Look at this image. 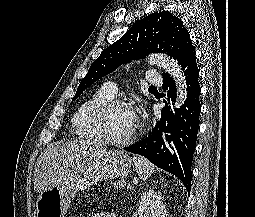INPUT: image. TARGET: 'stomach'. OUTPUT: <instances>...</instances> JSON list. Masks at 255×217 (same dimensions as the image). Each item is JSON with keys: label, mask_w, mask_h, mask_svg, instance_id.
Masks as SVG:
<instances>
[{"label": "stomach", "mask_w": 255, "mask_h": 217, "mask_svg": "<svg viewBox=\"0 0 255 217\" xmlns=\"http://www.w3.org/2000/svg\"><path fill=\"white\" fill-rule=\"evenodd\" d=\"M132 165V159L125 152H106L103 158L42 191L37 197L34 217H64L73 195L98 181L127 176Z\"/></svg>", "instance_id": "0dacf381"}]
</instances>
